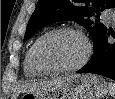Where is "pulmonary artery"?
Wrapping results in <instances>:
<instances>
[{
  "label": "pulmonary artery",
  "instance_id": "pulmonary-artery-1",
  "mask_svg": "<svg viewBox=\"0 0 115 99\" xmlns=\"http://www.w3.org/2000/svg\"><path fill=\"white\" fill-rule=\"evenodd\" d=\"M103 18L108 22H111L113 20V16H112L111 12H109V11L103 12Z\"/></svg>",
  "mask_w": 115,
  "mask_h": 99
}]
</instances>
